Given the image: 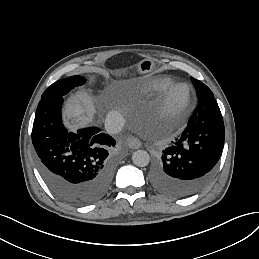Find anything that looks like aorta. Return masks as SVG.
I'll return each instance as SVG.
<instances>
[{"mask_svg":"<svg viewBox=\"0 0 259 259\" xmlns=\"http://www.w3.org/2000/svg\"><path fill=\"white\" fill-rule=\"evenodd\" d=\"M132 161L138 167H145L150 162V156L145 150H137L132 154Z\"/></svg>","mask_w":259,"mask_h":259,"instance_id":"762f6f07","label":"aorta"}]
</instances>
